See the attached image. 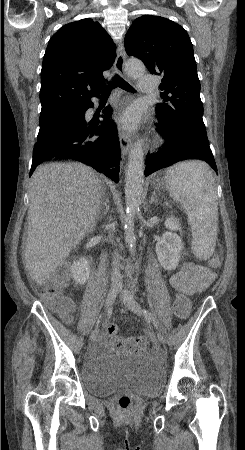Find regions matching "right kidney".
Here are the masks:
<instances>
[{
  "instance_id": "right-kidney-1",
  "label": "right kidney",
  "mask_w": 245,
  "mask_h": 450,
  "mask_svg": "<svg viewBox=\"0 0 245 450\" xmlns=\"http://www.w3.org/2000/svg\"><path fill=\"white\" fill-rule=\"evenodd\" d=\"M90 275V263L86 258H80L71 266V276L76 284H85Z\"/></svg>"
}]
</instances>
